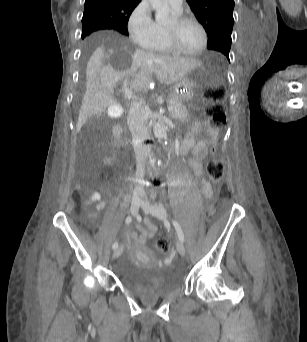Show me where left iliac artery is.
I'll return each mask as SVG.
<instances>
[{"label":"left iliac artery","instance_id":"44dca946","mask_svg":"<svg viewBox=\"0 0 307 342\" xmlns=\"http://www.w3.org/2000/svg\"><path fill=\"white\" fill-rule=\"evenodd\" d=\"M172 223L176 229V232H177L179 239L183 242L184 241V234H183V231H182L180 224L175 220H173Z\"/></svg>","mask_w":307,"mask_h":342}]
</instances>
